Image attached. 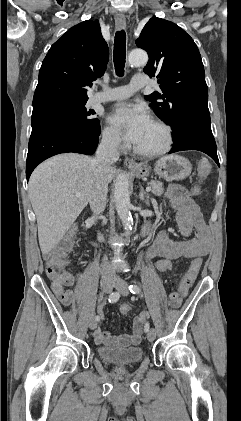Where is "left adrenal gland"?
Returning <instances> with one entry per match:
<instances>
[{
  "label": "left adrenal gland",
  "mask_w": 241,
  "mask_h": 421,
  "mask_svg": "<svg viewBox=\"0 0 241 421\" xmlns=\"http://www.w3.org/2000/svg\"><path fill=\"white\" fill-rule=\"evenodd\" d=\"M139 199H140L141 201L145 202V204H146L147 206H150V195H149V194H147V193L144 191L143 186H140Z\"/></svg>",
  "instance_id": "1"
}]
</instances>
